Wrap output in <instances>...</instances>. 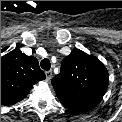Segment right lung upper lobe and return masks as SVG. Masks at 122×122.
Listing matches in <instances>:
<instances>
[{"mask_svg":"<svg viewBox=\"0 0 122 122\" xmlns=\"http://www.w3.org/2000/svg\"><path fill=\"white\" fill-rule=\"evenodd\" d=\"M38 60L19 49L1 57V104L10 105L23 100L32 86L45 79Z\"/></svg>","mask_w":122,"mask_h":122,"instance_id":"right-lung-upper-lobe-1","label":"right lung upper lobe"}]
</instances>
